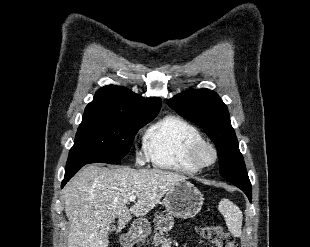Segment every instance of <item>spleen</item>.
<instances>
[{"instance_id":"1","label":"spleen","mask_w":310,"mask_h":247,"mask_svg":"<svg viewBox=\"0 0 310 247\" xmlns=\"http://www.w3.org/2000/svg\"><path fill=\"white\" fill-rule=\"evenodd\" d=\"M219 211L224 216L226 225L232 235L240 237L242 234V219L241 210L230 200L222 199L219 203Z\"/></svg>"}]
</instances>
